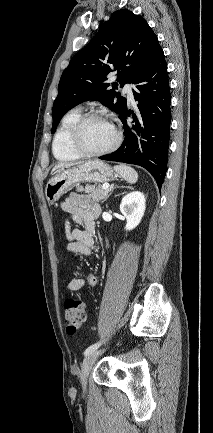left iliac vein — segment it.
I'll return each mask as SVG.
<instances>
[{
	"label": "left iliac vein",
	"mask_w": 213,
	"mask_h": 433,
	"mask_svg": "<svg viewBox=\"0 0 213 433\" xmlns=\"http://www.w3.org/2000/svg\"><path fill=\"white\" fill-rule=\"evenodd\" d=\"M99 354L100 351H94L87 355L83 360L80 371V381L84 390L86 389L88 375Z\"/></svg>",
	"instance_id": "1"
}]
</instances>
